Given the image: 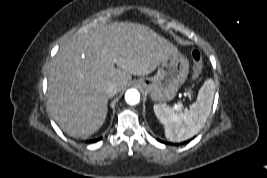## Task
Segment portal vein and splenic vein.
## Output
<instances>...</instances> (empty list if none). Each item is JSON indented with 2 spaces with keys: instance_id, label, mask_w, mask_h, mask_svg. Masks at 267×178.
<instances>
[{
  "instance_id": "portal-vein-and-splenic-vein-1",
  "label": "portal vein and splenic vein",
  "mask_w": 267,
  "mask_h": 178,
  "mask_svg": "<svg viewBox=\"0 0 267 178\" xmlns=\"http://www.w3.org/2000/svg\"><path fill=\"white\" fill-rule=\"evenodd\" d=\"M181 107H182V104H181L180 102H178L177 105H176V109H177V110H180Z\"/></svg>"
}]
</instances>
